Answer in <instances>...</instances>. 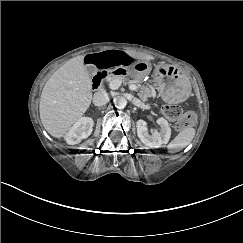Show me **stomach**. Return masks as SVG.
<instances>
[{
	"mask_svg": "<svg viewBox=\"0 0 243 243\" xmlns=\"http://www.w3.org/2000/svg\"><path fill=\"white\" fill-rule=\"evenodd\" d=\"M151 70L152 66L148 61L137 62L132 67L133 76L138 79L148 76ZM151 78L160 96L168 103H180L191 93L188 77L173 67L164 64L157 65Z\"/></svg>",
	"mask_w": 243,
	"mask_h": 243,
	"instance_id": "obj_1",
	"label": "stomach"
}]
</instances>
